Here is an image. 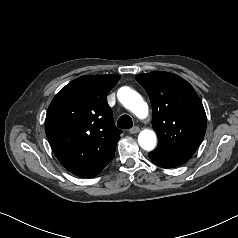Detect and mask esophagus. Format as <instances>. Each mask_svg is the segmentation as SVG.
Masks as SVG:
<instances>
[{"label":"esophagus","instance_id":"obj_1","mask_svg":"<svg viewBox=\"0 0 238 238\" xmlns=\"http://www.w3.org/2000/svg\"><path fill=\"white\" fill-rule=\"evenodd\" d=\"M140 131L139 127L134 126L129 130L130 134H137Z\"/></svg>","mask_w":238,"mask_h":238}]
</instances>
